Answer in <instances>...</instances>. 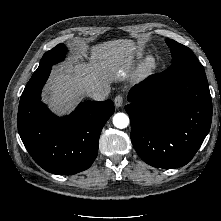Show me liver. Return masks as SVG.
Here are the masks:
<instances>
[{
	"label": "liver",
	"instance_id": "obj_1",
	"mask_svg": "<svg viewBox=\"0 0 221 221\" xmlns=\"http://www.w3.org/2000/svg\"><path fill=\"white\" fill-rule=\"evenodd\" d=\"M131 40L108 41L91 49V60L77 59L53 70L46 86L45 100L57 113H65L76 100L95 88L108 86L123 75L132 60Z\"/></svg>",
	"mask_w": 221,
	"mask_h": 221
}]
</instances>
